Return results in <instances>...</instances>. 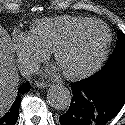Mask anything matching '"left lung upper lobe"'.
<instances>
[{"instance_id": "1", "label": "left lung upper lobe", "mask_w": 125, "mask_h": 125, "mask_svg": "<svg viewBox=\"0 0 125 125\" xmlns=\"http://www.w3.org/2000/svg\"><path fill=\"white\" fill-rule=\"evenodd\" d=\"M121 65H125V34L123 33H119L117 46L100 72Z\"/></svg>"}]
</instances>
